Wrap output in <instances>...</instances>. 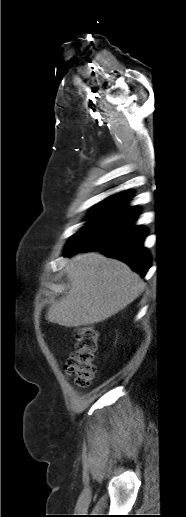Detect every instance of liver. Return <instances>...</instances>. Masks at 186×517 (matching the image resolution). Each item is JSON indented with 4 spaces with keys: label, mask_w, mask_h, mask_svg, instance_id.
Segmentation results:
<instances>
[{
    "label": "liver",
    "mask_w": 186,
    "mask_h": 517,
    "mask_svg": "<svg viewBox=\"0 0 186 517\" xmlns=\"http://www.w3.org/2000/svg\"><path fill=\"white\" fill-rule=\"evenodd\" d=\"M70 287L48 309L46 319L65 327L99 323L132 303L144 289L128 265L98 252L81 253L65 267Z\"/></svg>",
    "instance_id": "6515ba94"
}]
</instances>
